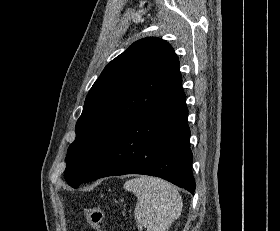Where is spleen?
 <instances>
[{"label": "spleen", "mask_w": 280, "mask_h": 231, "mask_svg": "<svg viewBox=\"0 0 280 231\" xmlns=\"http://www.w3.org/2000/svg\"><path fill=\"white\" fill-rule=\"evenodd\" d=\"M127 191L137 195L135 217L147 231H168L182 211V197L175 185L151 175H139L124 183Z\"/></svg>", "instance_id": "1"}]
</instances>
